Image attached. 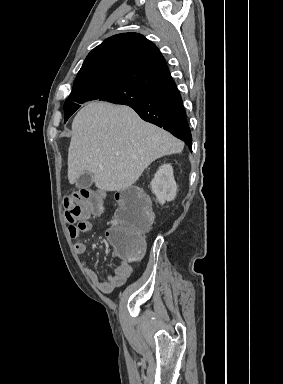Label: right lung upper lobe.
Returning a JSON list of instances; mask_svg holds the SVG:
<instances>
[{
	"label": "right lung upper lobe",
	"instance_id": "1",
	"mask_svg": "<svg viewBox=\"0 0 283 384\" xmlns=\"http://www.w3.org/2000/svg\"><path fill=\"white\" fill-rule=\"evenodd\" d=\"M172 79L166 61L151 41L138 33L106 39L86 57L73 89L102 83H125L153 91Z\"/></svg>",
	"mask_w": 283,
	"mask_h": 384
}]
</instances>
